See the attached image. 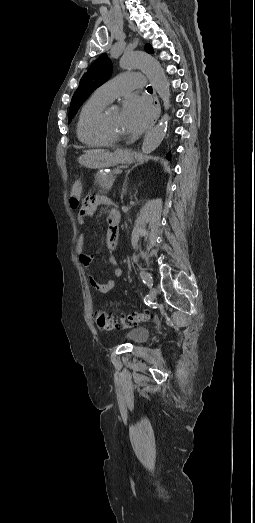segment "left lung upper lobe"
<instances>
[{
  "label": "left lung upper lobe",
  "instance_id": "obj_1",
  "mask_svg": "<svg viewBox=\"0 0 255 523\" xmlns=\"http://www.w3.org/2000/svg\"><path fill=\"white\" fill-rule=\"evenodd\" d=\"M145 49L148 53H153V48L150 44H147ZM111 73V61L106 54H102L84 74L79 83V87L73 95L69 108L68 123L71 122L72 118L88 96L110 78Z\"/></svg>",
  "mask_w": 255,
  "mask_h": 523
}]
</instances>
